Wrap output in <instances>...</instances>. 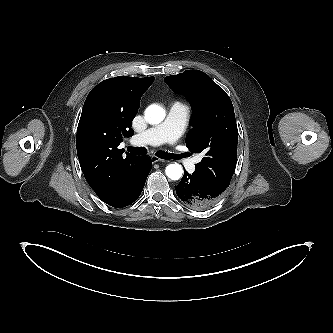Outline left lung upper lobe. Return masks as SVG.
Instances as JSON below:
<instances>
[{
	"mask_svg": "<svg viewBox=\"0 0 333 333\" xmlns=\"http://www.w3.org/2000/svg\"><path fill=\"white\" fill-rule=\"evenodd\" d=\"M165 82L189 98L194 108L186 146L193 153L205 154L194 173L224 191L237 163L238 129L229 96L198 70L167 76Z\"/></svg>",
	"mask_w": 333,
	"mask_h": 333,
	"instance_id": "obj_1",
	"label": "left lung upper lobe"
}]
</instances>
